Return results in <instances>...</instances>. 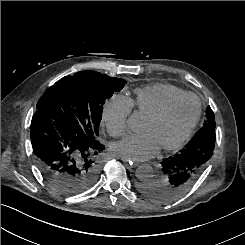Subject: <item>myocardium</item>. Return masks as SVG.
Wrapping results in <instances>:
<instances>
[{"instance_id": "1", "label": "myocardium", "mask_w": 245, "mask_h": 245, "mask_svg": "<svg viewBox=\"0 0 245 245\" xmlns=\"http://www.w3.org/2000/svg\"><path fill=\"white\" fill-rule=\"evenodd\" d=\"M189 97H192V98L196 99V101H197V112H196V115L194 117V120L192 121L191 125L188 127L186 132L182 135V137L178 141H176L173 144L161 147L162 150H164V151L177 150V149L181 148L190 139L191 135L193 134V132H194V130L198 124V121H199L200 115H201V101H200L199 97L193 93H185L183 95L174 97V98L168 100L167 102H165L157 110H155L154 112H152L151 114H149L148 116L145 117L146 120H150V121L160 119L171 109L172 106H174L179 101H181L185 98H189Z\"/></svg>"}]
</instances>
